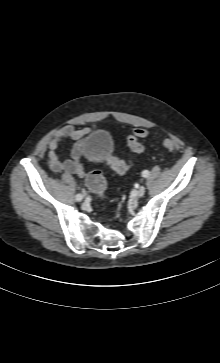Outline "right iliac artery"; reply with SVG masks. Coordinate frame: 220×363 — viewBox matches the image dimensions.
Listing matches in <instances>:
<instances>
[{
  "label": "right iliac artery",
  "instance_id": "82829eb1",
  "mask_svg": "<svg viewBox=\"0 0 220 363\" xmlns=\"http://www.w3.org/2000/svg\"><path fill=\"white\" fill-rule=\"evenodd\" d=\"M82 198H83V197H82V195H81V194H77V195H76V200H77V201H81V200H82Z\"/></svg>",
  "mask_w": 220,
  "mask_h": 363
}]
</instances>
